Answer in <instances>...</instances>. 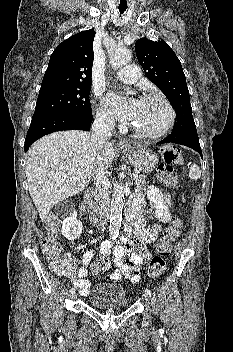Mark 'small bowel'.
Segmentation results:
<instances>
[{"label":"small bowel","mask_w":233,"mask_h":352,"mask_svg":"<svg viewBox=\"0 0 233 352\" xmlns=\"http://www.w3.org/2000/svg\"><path fill=\"white\" fill-rule=\"evenodd\" d=\"M148 197L153 205L158 223L152 228L146 227L145 219L138 209L140 204L138 201L134 215L126 220L125 233L120 242L113 245L110 241H104L100 246L101 254L112 255L116 266V270L109 276L111 280L125 278L131 283H137L141 278L140 271L144 262L153 257V251L149 245L157 239L161 225L172 219L168 194L151 186L148 189ZM93 257L94 251L87 250L79 261L70 256L65 260L70 269L64 275L71 280L81 296H87L90 292L91 283L86 277ZM77 263L81 265L79 268L76 267Z\"/></svg>","instance_id":"obj_1"}]
</instances>
